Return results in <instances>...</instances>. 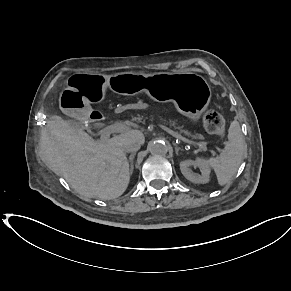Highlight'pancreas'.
Wrapping results in <instances>:
<instances>
[{
  "instance_id": "1",
  "label": "pancreas",
  "mask_w": 291,
  "mask_h": 291,
  "mask_svg": "<svg viewBox=\"0 0 291 291\" xmlns=\"http://www.w3.org/2000/svg\"><path fill=\"white\" fill-rule=\"evenodd\" d=\"M156 121L169 125L170 128L175 130L178 134L183 136H190L192 138H198V134H191L187 129H184L183 125H180L176 119L168 118L165 114L160 112L158 109H145L142 113H136L132 116V121L144 123L145 121Z\"/></svg>"
}]
</instances>
